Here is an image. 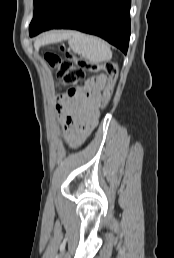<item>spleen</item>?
<instances>
[{
    "label": "spleen",
    "instance_id": "spleen-1",
    "mask_svg": "<svg viewBox=\"0 0 174 258\" xmlns=\"http://www.w3.org/2000/svg\"><path fill=\"white\" fill-rule=\"evenodd\" d=\"M61 36V38L68 40L69 46L75 53L84 55L93 63L108 61L112 58L109 45L102 39L77 31H69L61 34Z\"/></svg>",
    "mask_w": 174,
    "mask_h": 258
}]
</instances>
